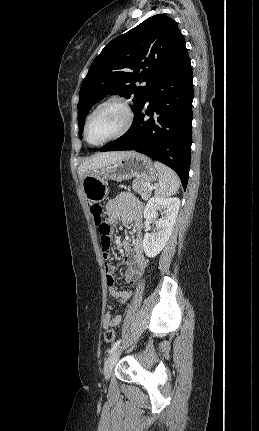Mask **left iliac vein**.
<instances>
[{
    "label": "left iliac vein",
    "mask_w": 259,
    "mask_h": 431,
    "mask_svg": "<svg viewBox=\"0 0 259 431\" xmlns=\"http://www.w3.org/2000/svg\"><path fill=\"white\" fill-rule=\"evenodd\" d=\"M120 349H116L105 362L104 365V376L105 379L108 380L113 372V369L118 361V358L120 356Z\"/></svg>",
    "instance_id": "obj_1"
}]
</instances>
